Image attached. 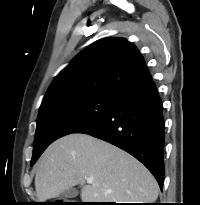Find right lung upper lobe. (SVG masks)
I'll list each match as a JSON object with an SVG mask.
<instances>
[{
    "label": "right lung upper lobe",
    "mask_w": 200,
    "mask_h": 205,
    "mask_svg": "<svg viewBox=\"0 0 200 205\" xmlns=\"http://www.w3.org/2000/svg\"><path fill=\"white\" fill-rule=\"evenodd\" d=\"M149 73L137 48L123 38L97 41L79 53L51 83L40 110L77 96L116 98Z\"/></svg>",
    "instance_id": "obj_1"
}]
</instances>
